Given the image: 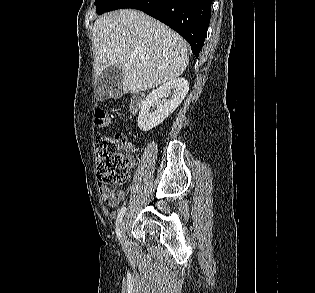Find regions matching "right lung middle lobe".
<instances>
[{
  "instance_id": "dd1d6c3e",
  "label": "right lung middle lobe",
  "mask_w": 315,
  "mask_h": 293,
  "mask_svg": "<svg viewBox=\"0 0 315 293\" xmlns=\"http://www.w3.org/2000/svg\"><path fill=\"white\" fill-rule=\"evenodd\" d=\"M115 0H96L97 14H103Z\"/></svg>"
}]
</instances>
